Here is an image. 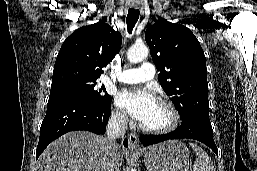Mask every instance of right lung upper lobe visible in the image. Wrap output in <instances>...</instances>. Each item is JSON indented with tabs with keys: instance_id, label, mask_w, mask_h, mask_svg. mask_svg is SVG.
Returning <instances> with one entry per match:
<instances>
[{
	"instance_id": "right-lung-upper-lobe-1",
	"label": "right lung upper lobe",
	"mask_w": 257,
	"mask_h": 171,
	"mask_svg": "<svg viewBox=\"0 0 257 171\" xmlns=\"http://www.w3.org/2000/svg\"><path fill=\"white\" fill-rule=\"evenodd\" d=\"M121 42L120 33L103 21L77 29L61 46L51 89L70 83L96 82L103 73L102 68L120 50Z\"/></svg>"
}]
</instances>
